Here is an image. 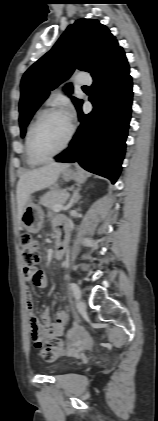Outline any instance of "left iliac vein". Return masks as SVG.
<instances>
[{
    "label": "left iliac vein",
    "instance_id": "1",
    "mask_svg": "<svg viewBox=\"0 0 158 421\" xmlns=\"http://www.w3.org/2000/svg\"><path fill=\"white\" fill-rule=\"evenodd\" d=\"M76 305H77V308H78L80 311H83V310H85V309H86V304H85V302H84L83 300H81V299H78V300H77Z\"/></svg>",
    "mask_w": 158,
    "mask_h": 421
}]
</instances>
